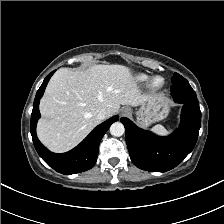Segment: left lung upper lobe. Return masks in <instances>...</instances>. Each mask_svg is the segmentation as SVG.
<instances>
[{
  "label": "left lung upper lobe",
  "instance_id": "left-lung-upper-lobe-1",
  "mask_svg": "<svg viewBox=\"0 0 224 224\" xmlns=\"http://www.w3.org/2000/svg\"><path fill=\"white\" fill-rule=\"evenodd\" d=\"M184 79L185 78H183L181 75H179L178 73H175L171 80H172V83L175 84V83L181 82Z\"/></svg>",
  "mask_w": 224,
  "mask_h": 224
}]
</instances>
